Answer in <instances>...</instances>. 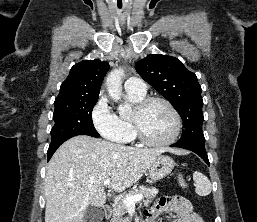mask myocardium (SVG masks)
I'll list each match as a JSON object with an SVG mask.
<instances>
[{
  "label": "myocardium",
  "instance_id": "myocardium-1",
  "mask_svg": "<svg viewBox=\"0 0 257 222\" xmlns=\"http://www.w3.org/2000/svg\"><path fill=\"white\" fill-rule=\"evenodd\" d=\"M154 103H162L164 104L169 111L171 112L174 118V132L173 134L163 141H153L150 140L143 132L141 126V117L144 112L148 109V107ZM131 122L134 130L135 136L138 140L144 145L151 147H165L173 144L179 137L182 130V120L179 112L175 108V106L167 99L158 96H150L142 99L138 104H136L133 112L131 113Z\"/></svg>",
  "mask_w": 257,
  "mask_h": 222
}]
</instances>
